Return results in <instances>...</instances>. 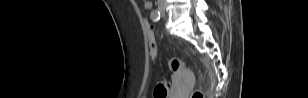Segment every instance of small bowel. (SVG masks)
I'll return each instance as SVG.
<instances>
[{
    "instance_id": "1",
    "label": "small bowel",
    "mask_w": 308,
    "mask_h": 98,
    "mask_svg": "<svg viewBox=\"0 0 308 98\" xmlns=\"http://www.w3.org/2000/svg\"><path fill=\"white\" fill-rule=\"evenodd\" d=\"M143 4H144V7H145L146 9H150V8L152 7V2H151V1L145 0V1L143 2Z\"/></svg>"
}]
</instances>
